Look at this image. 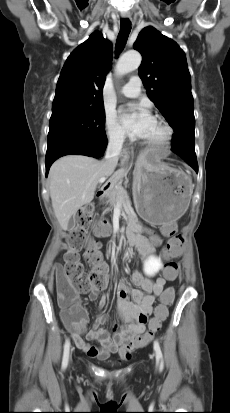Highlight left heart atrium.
Instances as JSON below:
<instances>
[{"label":"left heart atrium","instance_id":"39dd6f15","mask_svg":"<svg viewBox=\"0 0 230 413\" xmlns=\"http://www.w3.org/2000/svg\"><path fill=\"white\" fill-rule=\"evenodd\" d=\"M121 122L131 134L143 138L151 128L154 119L144 104H130L121 111Z\"/></svg>","mask_w":230,"mask_h":413}]
</instances>
